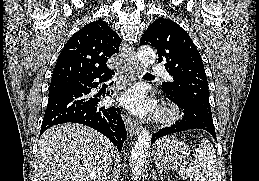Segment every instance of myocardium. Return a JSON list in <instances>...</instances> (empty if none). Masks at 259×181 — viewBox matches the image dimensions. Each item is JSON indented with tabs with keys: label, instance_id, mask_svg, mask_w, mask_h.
<instances>
[{
	"label": "myocardium",
	"instance_id": "f54148a6",
	"mask_svg": "<svg viewBox=\"0 0 259 181\" xmlns=\"http://www.w3.org/2000/svg\"><path fill=\"white\" fill-rule=\"evenodd\" d=\"M179 118V110L174 105L162 106L157 114L156 121L163 125H168L175 122Z\"/></svg>",
	"mask_w": 259,
	"mask_h": 181
}]
</instances>
